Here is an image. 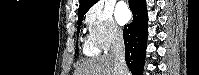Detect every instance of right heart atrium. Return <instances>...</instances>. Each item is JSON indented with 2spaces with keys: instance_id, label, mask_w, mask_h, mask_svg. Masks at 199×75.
<instances>
[{
  "instance_id": "obj_1",
  "label": "right heart atrium",
  "mask_w": 199,
  "mask_h": 75,
  "mask_svg": "<svg viewBox=\"0 0 199 75\" xmlns=\"http://www.w3.org/2000/svg\"><path fill=\"white\" fill-rule=\"evenodd\" d=\"M85 22L90 38L99 49L107 50L123 38L122 30L112 12L102 6L92 8Z\"/></svg>"
}]
</instances>
